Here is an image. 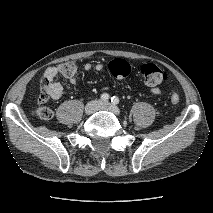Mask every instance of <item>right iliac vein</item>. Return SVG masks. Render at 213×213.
I'll return each mask as SVG.
<instances>
[{
  "label": "right iliac vein",
  "mask_w": 213,
  "mask_h": 213,
  "mask_svg": "<svg viewBox=\"0 0 213 213\" xmlns=\"http://www.w3.org/2000/svg\"><path fill=\"white\" fill-rule=\"evenodd\" d=\"M101 102L98 100L90 101L85 107V113L91 115L100 108Z\"/></svg>",
  "instance_id": "63e3f726"
}]
</instances>
